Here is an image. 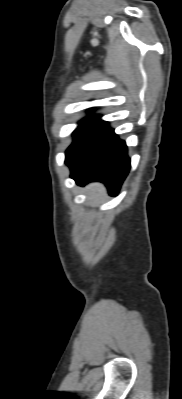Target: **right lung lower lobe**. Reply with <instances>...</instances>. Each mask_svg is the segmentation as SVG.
Instances as JSON below:
<instances>
[{
    "label": "right lung lower lobe",
    "mask_w": 182,
    "mask_h": 399,
    "mask_svg": "<svg viewBox=\"0 0 182 399\" xmlns=\"http://www.w3.org/2000/svg\"><path fill=\"white\" fill-rule=\"evenodd\" d=\"M100 117L87 118L74 131L65 163L77 184L101 181L111 195H116L129 172L130 158L125 142Z\"/></svg>",
    "instance_id": "right-lung-lower-lobe-1"
}]
</instances>
